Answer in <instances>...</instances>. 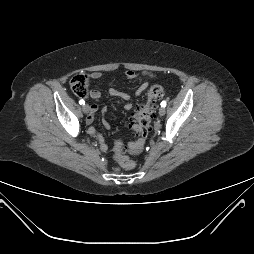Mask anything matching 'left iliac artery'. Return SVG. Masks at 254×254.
<instances>
[{"instance_id":"left-iliac-artery-1","label":"left iliac artery","mask_w":254,"mask_h":254,"mask_svg":"<svg viewBox=\"0 0 254 254\" xmlns=\"http://www.w3.org/2000/svg\"><path fill=\"white\" fill-rule=\"evenodd\" d=\"M165 106H166V101L163 100V101L161 102V107H165Z\"/></svg>"}]
</instances>
